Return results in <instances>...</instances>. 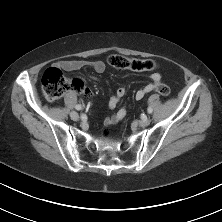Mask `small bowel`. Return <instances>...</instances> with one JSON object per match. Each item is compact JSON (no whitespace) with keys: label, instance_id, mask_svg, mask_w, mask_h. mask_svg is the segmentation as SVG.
<instances>
[{"label":"small bowel","instance_id":"1","mask_svg":"<svg viewBox=\"0 0 222 222\" xmlns=\"http://www.w3.org/2000/svg\"><path fill=\"white\" fill-rule=\"evenodd\" d=\"M56 66L67 72L77 71L86 67L93 69L96 73H103L105 71V64L101 60L87 61V60H62L57 62ZM150 83L145 85L143 88L139 89L135 93V98L141 100L146 94L153 91L161 82V75L159 73H153L149 77ZM126 94V87H119L115 94L110 97L108 106L111 110H115L120 104L122 98ZM126 116V109L120 108L117 111L109 115L105 122L106 124L112 125L117 124Z\"/></svg>","mask_w":222,"mask_h":222}]
</instances>
